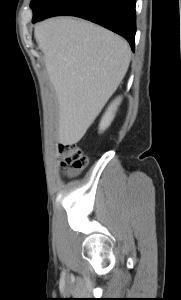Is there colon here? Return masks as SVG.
I'll return each instance as SVG.
<instances>
[{
	"instance_id": "obj_1",
	"label": "colon",
	"mask_w": 181,
	"mask_h": 300,
	"mask_svg": "<svg viewBox=\"0 0 181 300\" xmlns=\"http://www.w3.org/2000/svg\"><path fill=\"white\" fill-rule=\"evenodd\" d=\"M59 153L62 156L61 165L70 172H79L87 165V157L75 144H61L59 146Z\"/></svg>"
}]
</instances>
